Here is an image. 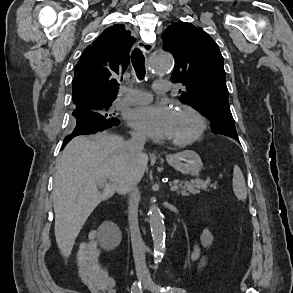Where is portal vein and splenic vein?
<instances>
[{"instance_id": "portal-vein-and-splenic-vein-1", "label": "portal vein and splenic vein", "mask_w": 293, "mask_h": 293, "mask_svg": "<svg viewBox=\"0 0 293 293\" xmlns=\"http://www.w3.org/2000/svg\"><path fill=\"white\" fill-rule=\"evenodd\" d=\"M104 180V179H103ZM178 186L177 185H173V186H171L170 187V190L172 191V192H174V191H176V190H178Z\"/></svg>"}]
</instances>
